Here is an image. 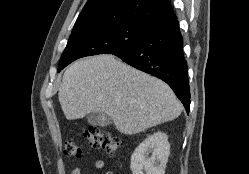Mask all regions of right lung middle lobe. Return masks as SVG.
<instances>
[{
    "mask_svg": "<svg viewBox=\"0 0 249 174\" xmlns=\"http://www.w3.org/2000/svg\"><path fill=\"white\" fill-rule=\"evenodd\" d=\"M146 25L139 21H122L72 32L61 56L58 72L81 57L127 49L142 37Z\"/></svg>",
    "mask_w": 249,
    "mask_h": 174,
    "instance_id": "obj_1",
    "label": "right lung middle lobe"
}]
</instances>
